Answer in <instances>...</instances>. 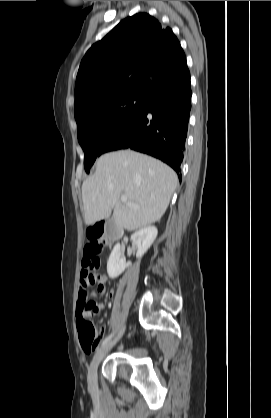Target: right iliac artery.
<instances>
[{
  "mask_svg": "<svg viewBox=\"0 0 271 418\" xmlns=\"http://www.w3.org/2000/svg\"><path fill=\"white\" fill-rule=\"evenodd\" d=\"M113 334H110L109 336H107L103 341H102V346H104L105 344H107L111 338H112Z\"/></svg>",
  "mask_w": 271,
  "mask_h": 418,
  "instance_id": "1",
  "label": "right iliac artery"
}]
</instances>
